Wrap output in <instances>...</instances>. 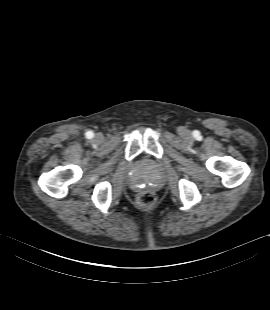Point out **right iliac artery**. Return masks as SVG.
<instances>
[{"mask_svg":"<svg viewBox=\"0 0 270 310\" xmlns=\"http://www.w3.org/2000/svg\"><path fill=\"white\" fill-rule=\"evenodd\" d=\"M86 136H87V138H92L93 137V133L92 132H87Z\"/></svg>","mask_w":270,"mask_h":310,"instance_id":"82829eb1","label":"right iliac artery"}]
</instances>
